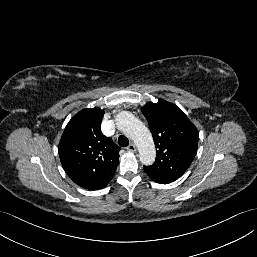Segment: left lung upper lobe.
Segmentation results:
<instances>
[{
	"label": "left lung upper lobe",
	"instance_id": "left-lung-upper-lobe-1",
	"mask_svg": "<svg viewBox=\"0 0 257 257\" xmlns=\"http://www.w3.org/2000/svg\"><path fill=\"white\" fill-rule=\"evenodd\" d=\"M141 111L157 148L155 162L144 170L149 177L173 182L189 168L197 153L198 131L181 109L163 99L146 104Z\"/></svg>",
	"mask_w": 257,
	"mask_h": 257
}]
</instances>
